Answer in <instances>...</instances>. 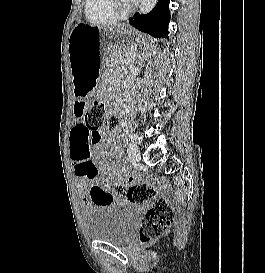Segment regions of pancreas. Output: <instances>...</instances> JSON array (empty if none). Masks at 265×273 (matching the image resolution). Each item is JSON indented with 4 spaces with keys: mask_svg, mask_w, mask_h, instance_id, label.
<instances>
[{
    "mask_svg": "<svg viewBox=\"0 0 265 273\" xmlns=\"http://www.w3.org/2000/svg\"><path fill=\"white\" fill-rule=\"evenodd\" d=\"M133 50L127 49L124 51L115 50L109 55V60L107 65L109 67H117L121 63L132 64L134 63V58L131 56Z\"/></svg>",
    "mask_w": 265,
    "mask_h": 273,
    "instance_id": "cf45deb5",
    "label": "pancreas"
}]
</instances>
